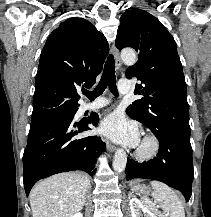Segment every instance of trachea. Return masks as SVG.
Here are the masks:
<instances>
[{
	"label": "trachea",
	"instance_id": "1",
	"mask_svg": "<svg viewBox=\"0 0 211 217\" xmlns=\"http://www.w3.org/2000/svg\"><path fill=\"white\" fill-rule=\"evenodd\" d=\"M109 87L112 94L118 96V91L116 87V77H115V61L113 55H109L105 66L102 78L96 88L93 91H83V94L87 96L90 100H94L96 97L101 95L106 87Z\"/></svg>",
	"mask_w": 211,
	"mask_h": 217
}]
</instances>
